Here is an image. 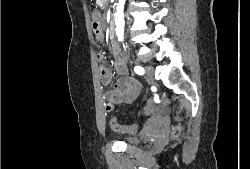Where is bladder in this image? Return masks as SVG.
<instances>
[{
  "label": "bladder",
  "mask_w": 250,
  "mask_h": 169,
  "mask_svg": "<svg viewBox=\"0 0 250 169\" xmlns=\"http://www.w3.org/2000/svg\"><path fill=\"white\" fill-rule=\"evenodd\" d=\"M119 139L122 140L124 144L128 146H137L138 144H140L141 140L139 139V134H126L120 137Z\"/></svg>",
  "instance_id": "31cf9c89"
}]
</instances>
